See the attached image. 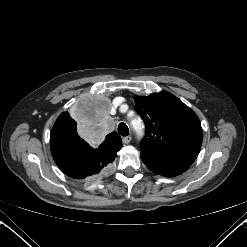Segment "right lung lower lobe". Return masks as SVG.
Instances as JSON below:
<instances>
[{"label":"right lung lower lobe","instance_id":"obj_1","mask_svg":"<svg viewBox=\"0 0 247 247\" xmlns=\"http://www.w3.org/2000/svg\"><path fill=\"white\" fill-rule=\"evenodd\" d=\"M52 156L63 173L75 179L98 174L117 156L112 147L92 148L77 132L52 129L50 135Z\"/></svg>","mask_w":247,"mask_h":247}]
</instances>
